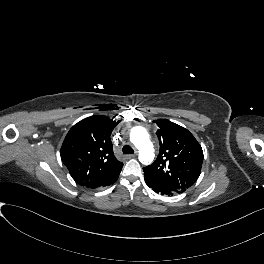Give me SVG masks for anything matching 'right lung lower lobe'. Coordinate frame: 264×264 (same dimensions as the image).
Wrapping results in <instances>:
<instances>
[{"label":"right lung lower lobe","mask_w":264,"mask_h":264,"mask_svg":"<svg viewBox=\"0 0 264 264\" xmlns=\"http://www.w3.org/2000/svg\"><path fill=\"white\" fill-rule=\"evenodd\" d=\"M120 174V173H119ZM119 174H117L114 178H112L110 181H108L107 183H105L104 185H102L101 187H105V186H109L111 184H113L119 177Z\"/></svg>","instance_id":"right-lung-lower-lobe-1"}]
</instances>
